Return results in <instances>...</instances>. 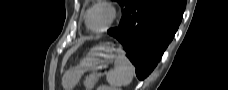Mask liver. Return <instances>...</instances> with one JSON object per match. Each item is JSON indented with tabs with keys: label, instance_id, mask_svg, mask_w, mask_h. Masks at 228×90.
<instances>
[{
	"label": "liver",
	"instance_id": "obj_1",
	"mask_svg": "<svg viewBox=\"0 0 228 90\" xmlns=\"http://www.w3.org/2000/svg\"><path fill=\"white\" fill-rule=\"evenodd\" d=\"M83 42H84L83 40H80L78 43H76L75 46H73L72 48H70V49L66 52V54L64 55L63 60H62V69H63V67L65 66V64H66L67 60L69 59V57L71 56V54H73V53L80 47V45H81ZM63 85H64V86H67V85L64 83V81H63Z\"/></svg>",
	"mask_w": 228,
	"mask_h": 90
}]
</instances>
